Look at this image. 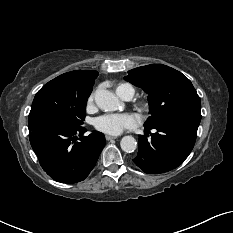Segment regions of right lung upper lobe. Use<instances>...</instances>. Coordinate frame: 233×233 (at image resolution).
I'll return each mask as SVG.
<instances>
[{
  "instance_id": "cb5924a9",
  "label": "right lung upper lobe",
  "mask_w": 233,
  "mask_h": 233,
  "mask_svg": "<svg viewBox=\"0 0 233 233\" xmlns=\"http://www.w3.org/2000/svg\"><path fill=\"white\" fill-rule=\"evenodd\" d=\"M98 74L97 71L76 70L64 73L60 76L74 83L82 84L88 81H94Z\"/></svg>"
}]
</instances>
